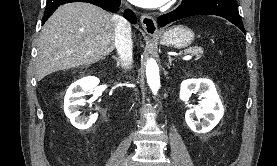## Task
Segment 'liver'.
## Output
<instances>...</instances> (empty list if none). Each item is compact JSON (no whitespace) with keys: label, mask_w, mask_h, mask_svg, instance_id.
Masks as SVG:
<instances>
[{"label":"liver","mask_w":277,"mask_h":166,"mask_svg":"<svg viewBox=\"0 0 277 166\" xmlns=\"http://www.w3.org/2000/svg\"><path fill=\"white\" fill-rule=\"evenodd\" d=\"M115 16L89 3L60 6L44 24L38 42L37 79L94 64L114 49Z\"/></svg>","instance_id":"1"}]
</instances>
